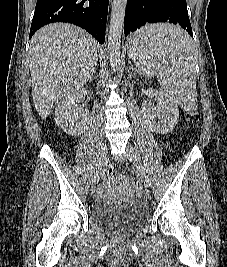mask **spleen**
I'll return each instance as SVG.
<instances>
[{
    "label": "spleen",
    "instance_id": "obj_1",
    "mask_svg": "<svg viewBox=\"0 0 227 267\" xmlns=\"http://www.w3.org/2000/svg\"><path fill=\"white\" fill-rule=\"evenodd\" d=\"M126 46L140 77H155L187 109L196 107V58L188 34L174 22H152L132 31Z\"/></svg>",
    "mask_w": 227,
    "mask_h": 267
}]
</instances>
